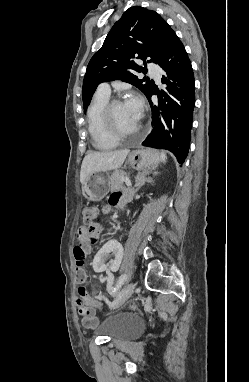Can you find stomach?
I'll return each instance as SVG.
<instances>
[{"mask_svg": "<svg viewBox=\"0 0 249 382\" xmlns=\"http://www.w3.org/2000/svg\"><path fill=\"white\" fill-rule=\"evenodd\" d=\"M161 161L157 150L139 148L129 153L127 163L139 170L155 169ZM109 175L104 172L90 174L82 184V194L89 201H100L109 192Z\"/></svg>", "mask_w": 249, "mask_h": 382, "instance_id": "obj_1", "label": "stomach"}]
</instances>
